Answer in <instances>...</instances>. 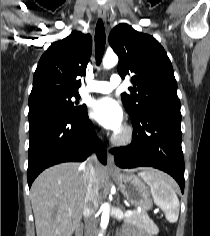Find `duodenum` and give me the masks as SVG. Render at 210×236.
I'll return each instance as SVG.
<instances>
[{"label": "duodenum", "mask_w": 210, "mask_h": 236, "mask_svg": "<svg viewBox=\"0 0 210 236\" xmlns=\"http://www.w3.org/2000/svg\"><path fill=\"white\" fill-rule=\"evenodd\" d=\"M76 236H82V234H81V230H78V231H77Z\"/></svg>", "instance_id": "1"}]
</instances>
